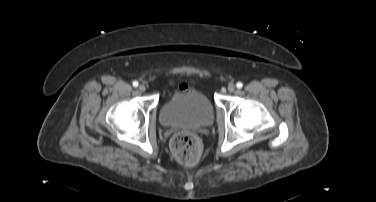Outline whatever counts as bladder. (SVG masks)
Wrapping results in <instances>:
<instances>
[{
  "label": "bladder",
  "mask_w": 376,
  "mask_h": 202,
  "mask_svg": "<svg viewBox=\"0 0 376 202\" xmlns=\"http://www.w3.org/2000/svg\"><path fill=\"white\" fill-rule=\"evenodd\" d=\"M214 116L211 100L194 88L174 93L159 113L160 121L165 127L188 129L210 126Z\"/></svg>",
  "instance_id": "1"
}]
</instances>
